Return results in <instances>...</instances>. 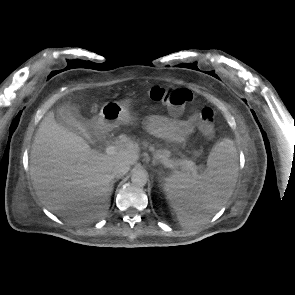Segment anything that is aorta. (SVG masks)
Returning a JSON list of instances; mask_svg holds the SVG:
<instances>
[{"mask_svg": "<svg viewBox=\"0 0 295 295\" xmlns=\"http://www.w3.org/2000/svg\"><path fill=\"white\" fill-rule=\"evenodd\" d=\"M148 180V173L143 169H138L133 172L131 181L137 186H144Z\"/></svg>", "mask_w": 295, "mask_h": 295, "instance_id": "aorta-1", "label": "aorta"}]
</instances>
